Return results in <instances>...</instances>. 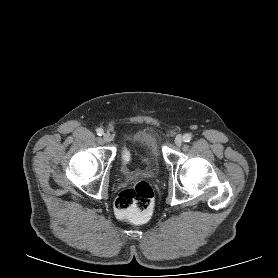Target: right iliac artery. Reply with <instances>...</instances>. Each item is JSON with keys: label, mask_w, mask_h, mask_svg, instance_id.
I'll return each mask as SVG.
<instances>
[{"label": "right iliac artery", "mask_w": 278, "mask_h": 278, "mask_svg": "<svg viewBox=\"0 0 278 278\" xmlns=\"http://www.w3.org/2000/svg\"><path fill=\"white\" fill-rule=\"evenodd\" d=\"M96 132H97V134H98L99 136H102V135L104 134V131H103L102 128H98V129L96 130Z\"/></svg>", "instance_id": "right-iliac-artery-1"}]
</instances>
